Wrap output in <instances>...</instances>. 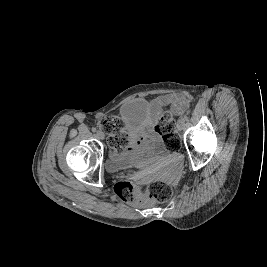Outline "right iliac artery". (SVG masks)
<instances>
[{"mask_svg": "<svg viewBox=\"0 0 267 267\" xmlns=\"http://www.w3.org/2000/svg\"><path fill=\"white\" fill-rule=\"evenodd\" d=\"M92 131H93V132H96V131H97V129H96L95 127H93V128H92Z\"/></svg>", "mask_w": 267, "mask_h": 267, "instance_id": "right-iliac-artery-1", "label": "right iliac artery"}]
</instances>
